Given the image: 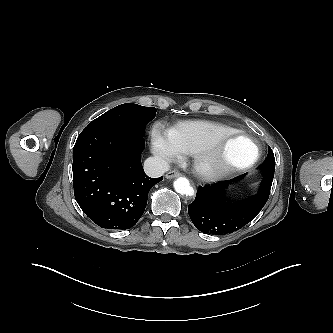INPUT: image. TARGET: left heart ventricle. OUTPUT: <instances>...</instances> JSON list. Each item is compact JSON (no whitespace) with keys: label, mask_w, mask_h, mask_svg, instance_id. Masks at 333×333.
<instances>
[{"label":"left heart ventricle","mask_w":333,"mask_h":333,"mask_svg":"<svg viewBox=\"0 0 333 333\" xmlns=\"http://www.w3.org/2000/svg\"><path fill=\"white\" fill-rule=\"evenodd\" d=\"M253 154V146L242 139L228 141L223 147L224 158L233 163H243Z\"/></svg>","instance_id":"b2bd125f"}]
</instances>
